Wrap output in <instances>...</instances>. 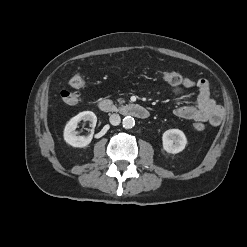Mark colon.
Wrapping results in <instances>:
<instances>
[{"label": "colon", "instance_id": "1", "mask_svg": "<svg viewBox=\"0 0 247 247\" xmlns=\"http://www.w3.org/2000/svg\"><path fill=\"white\" fill-rule=\"evenodd\" d=\"M161 78L173 86H178L183 82V77L177 72H163L161 73ZM70 85L73 90H64L61 92V98L64 103L68 105H77L80 103L82 97L79 92L80 89H83L86 85L85 78L80 74H75L71 80ZM193 128L196 131H203L205 128L204 123L202 122H194Z\"/></svg>", "mask_w": 247, "mask_h": 247}]
</instances>
